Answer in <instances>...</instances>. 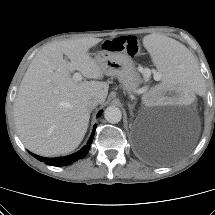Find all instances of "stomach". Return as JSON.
Instances as JSON below:
<instances>
[{
    "label": "stomach",
    "instance_id": "0dacf381",
    "mask_svg": "<svg viewBox=\"0 0 215 215\" xmlns=\"http://www.w3.org/2000/svg\"><path fill=\"white\" fill-rule=\"evenodd\" d=\"M94 59L105 75L118 78L124 91L133 93L142 83L133 60L126 53L102 50Z\"/></svg>",
    "mask_w": 215,
    "mask_h": 215
}]
</instances>
